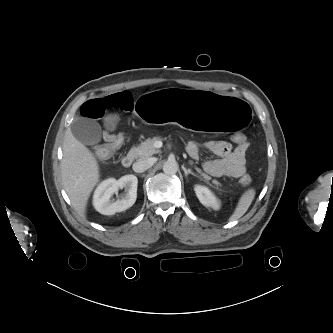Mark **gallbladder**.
<instances>
[{
  "label": "gallbladder",
  "instance_id": "bac80fb5",
  "mask_svg": "<svg viewBox=\"0 0 333 333\" xmlns=\"http://www.w3.org/2000/svg\"><path fill=\"white\" fill-rule=\"evenodd\" d=\"M74 137L85 145H93L101 140L100 125L92 119L78 117L71 125Z\"/></svg>",
  "mask_w": 333,
  "mask_h": 333
}]
</instances>
